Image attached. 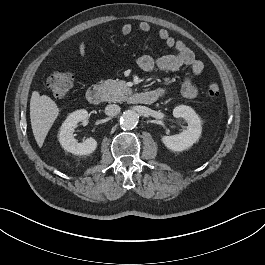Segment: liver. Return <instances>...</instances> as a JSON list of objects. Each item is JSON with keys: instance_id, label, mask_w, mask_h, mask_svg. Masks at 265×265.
I'll use <instances>...</instances> for the list:
<instances>
[{"instance_id": "6515ba94", "label": "liver", "mask_w": 265, "mask_h": 265, "mask_svg": "<svg viewBox=\"0 0 265 265\" xmlns=\"http://www.w3.org/2000/svg\"><path fill=\"white\" fill-rule=\"evenodd\" d=\"M59 114L57 104L48 96L33 91L30 99V119L33 135L38 146H43L44 140Z\"/></svg>"}]
</instances>
